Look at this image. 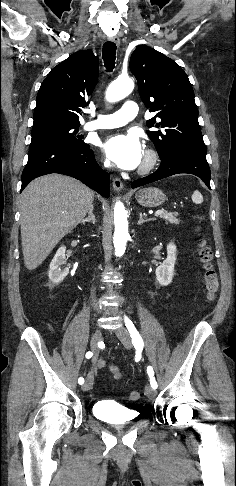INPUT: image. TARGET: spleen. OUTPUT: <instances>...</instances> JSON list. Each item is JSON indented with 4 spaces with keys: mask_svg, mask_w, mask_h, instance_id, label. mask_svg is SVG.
<instances>
[{
    "mask_svg": "<svg viewBox=\"0 0 236 486\" xmlns=\"http://www.w3.org/2000/svg\"><path fill=\"white\" fill-rule=\"evenodd\" d=\"M192 201L196 204H200L203 202V196L199 191H194L192 194Z\"/></svg>",
    "mask_w": 236,
    "mask_h": 486,
    "instance_id": "1",
    "label": "spleen"
}]
</instances>
